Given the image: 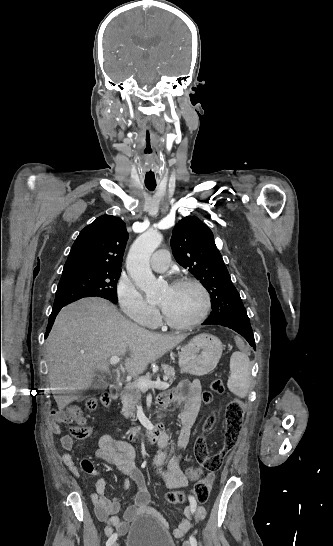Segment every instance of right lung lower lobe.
Returning a JSON list of instances; mask_svg holds the SVG:
<instances>
[{
    "label": "right lung lower lobe",
    "instance_id": "obj_1",
    "mask_svg": "<svg viewBox=\"0 0 333 546\" xmlns=\"http://www.w3.org/2000/svg\"><path fill=\"white\" fill-rule=\"evenodd\" d=\"M61 308L62 307L53 308L52 313H51V315L49 317V322H48V326H47V329H46L45 338L48 336V333L50 332V330L52 328V325L54 323L55 317L58 314V312L61 310Z\"/></svg>",
    "mask_w": 333,
    "mask_h": 546
}]
</instances>
